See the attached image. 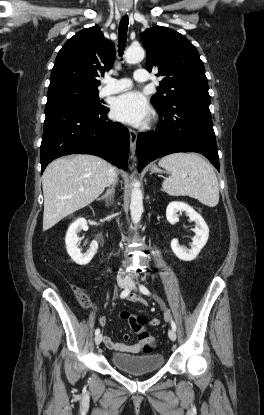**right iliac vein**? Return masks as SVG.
<instances>
[{
  "mask_svg": "<svg viewBox=\"0 0 264 415\" xmlns=\"http://www.w3.org/2000/svg\"><path fill=\"white\" fill-rule=\"evenodd\" d=\"M119 287L121 288H126L129 285V282L127 280H121L118 282ZM103 339V335L102 334H98L95 337V343L96 345H99L102 342Z\"/></svg>",
  "mask_w": 264,
  "mask_h": 415,
  "instance_id": "1",
  "label": "right iliac vein"
}]
</instances>
